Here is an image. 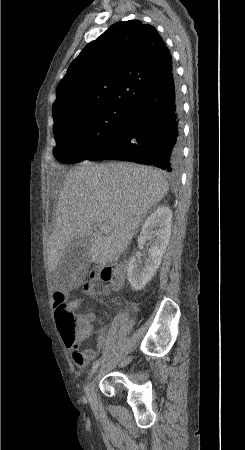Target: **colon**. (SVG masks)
<instances>
[{
    "instance_id": "colon-1",
    "label": "colon",
    "mask_w": 245,
    "mask_h": 450,
    "mask_svg": "<svg viewBox=\"0 0 245 450\" xmlns=\"http://www.w3.org/2000/svg\"><path fill=\"white\" fill-rule=\"evenodd\" d=\"M126 263L118 262L100 270L99 278L105 282L122 280L126 272ZM93 278V277H92ZM63 293L54 294V299L62 301ZM55 326L62 339L67 344L80 343L90 335V324L86 321L77 319L68 309L67 305L61 303L55 312ZM80 360L81 357L78 356Z\"/></svg>"
}]
</instances>
